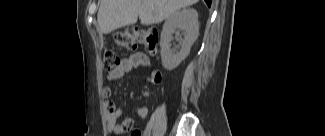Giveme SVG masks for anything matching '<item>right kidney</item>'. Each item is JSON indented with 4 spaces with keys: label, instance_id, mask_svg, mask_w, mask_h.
<instances>
[{
    "label": "right kidney",
    "instance_id": "1",
    "mask_svg": "<svg viewBox=\"0 0 325 136\" xmlns=\"http://www.w3.org/2000/svg\"><path fill=\"white\" fill-rule=\"evenodd\" d=\"M180 31L184 32V39L181 41L179 50L171 49L173 34L179 36ZM199 35L198 13L193 8L182 9L170 15L161 32V60L167 70H173L189 55L190 48Z\"/></svg>",
    "mask_w": 325,
    "mask_h": 136
}]
</instances>
